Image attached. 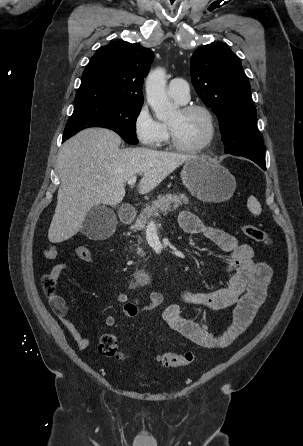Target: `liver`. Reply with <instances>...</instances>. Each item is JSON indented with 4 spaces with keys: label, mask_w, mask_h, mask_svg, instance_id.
<instances>
[{
    "label": "liver",
    "mask_w": 303,
    "mask_h": 446,
    "mask_svg": "<svg viewBox=\"0 0 303 446\" xmlns=\"http://www.w3.org/2000/svg\"><path fill=\"white\" fill-rule=\"evenodd\" d=\"M113 131L90 128L69 139L57 157L61 180L48 239L60 243L77 234L88 212L99 204L116 206L125 196V184L137 174L140 194L156 188L184 162L196 158L147 148L120 149Z\"/></svg>",
    "instance_id": "liver-1"
}]
</instances>
